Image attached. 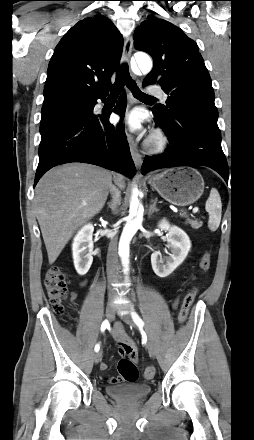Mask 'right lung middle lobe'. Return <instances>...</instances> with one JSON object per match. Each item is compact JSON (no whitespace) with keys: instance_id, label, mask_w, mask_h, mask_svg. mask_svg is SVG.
Listing matches in <instances>:
<instances>
[{"instance_id":"dd1d6c3e","label":"right lung middle lobe","mask_w":254,"mask_h":440,"mask_svg":"<svg viewBox=\"0 0 254 440\" xmlns=\"http://www.w3.org/2000/svg\"><path fill=\"white\" fill-rule=\"evenodd\" d=\"M84 109H87V101L77 94H61L44 100L41 110V136L72 112Z\"/></svg>"}]
</instances>
